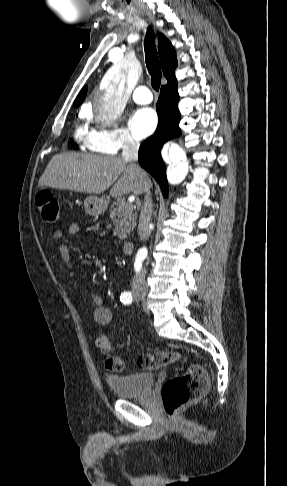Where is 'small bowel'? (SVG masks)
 Segmentation results:
<instances>
[{"label":"small bowel","instance_id":"obj_1","mask_svg":"<svg viewBox=\"0 0 287 486\" xmlns=\"http://www.w3.org/2000/svg\"><path fill=\"white\" fill-rule=\"evenodd\" d=\"M80 230H81V226L75 223L70 225L66 231L61 229L56 230L53 233V239L57 242H61L66 234L74 235L78 233ZM59 252L62 261L64 262L66 268L69 270L73 279L78 280L79 276L74 272L68 245L64 242H61L59 245ZM91 301L95 307L93 312L95 322L101 326L110 324L113 319V312L109 307L104 305L103 297L98 293H93L91 295Z\"/></svg>","mask_w":287,"mask_h":486}]
</instances>
